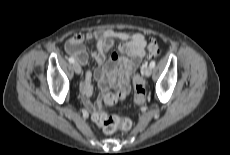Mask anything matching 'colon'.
I'll return each instance as SVG.
<instances>
[{
    "mask_svg": "<svg viewBox=\"0 0 230 155\" xmlns=\"http://www.w3.org/2000/svg\"><path fill=\"white\" fill-rule=\"evenodd\" d=\"M147 51L150 57H156L159 54V45L156 41L152 40L147 45ZM134 102L140 106L144 104L146 97V87L142 83L140 77L134 78L133 89ZM115 98L110 97L113 101ZM94 121L102 127L105 133H113L116 129L128 130L132 126V122L126 118H119L115 115H108L103 111H97L93 116Z\"/></svg>",
    "mask_w": 230,
    "mask_h": 155,
    "instance_id": "obj_1",
    "label": "colon"
}]
</instances>
